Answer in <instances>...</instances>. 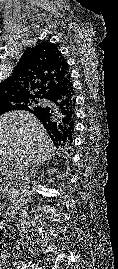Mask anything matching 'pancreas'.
<instances>
[{"mask_svg": "<svg viewBox=\"0 0 118 269\" xmlns=\"http://www.w3.org/2000/svg\"><path fill=\"white\" fill-rule=\"evenodd\" d=\"M9 187V184L7 183L6 180L0 181V191H7Z\"/></svg>", "mask_w": 118, "mask_h": 269, "instance_id": "cf45deb5", "label": "pancreas"}]
</instances>
